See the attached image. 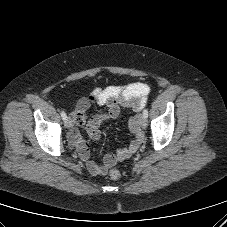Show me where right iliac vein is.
I'll return each mask as SVG.
<instances>
[{
	"instance_id": "obj_1",
	"label": "right iliac vein",
	"mask_w": 227,
	"mask_h": 227,
	"mask_svg": "<svg viewBox=\"0 0 227 227\" xmlns=\"http://www.w3.org/2000/svg\"><path fill=\"white\" fill-rule=\"evenodd\" d=\"M65 126H66L67 128H72V127H73V122H72V120H71L70 117H67V118H66V120H65Z\"/></svg>"
}]
</instances>
